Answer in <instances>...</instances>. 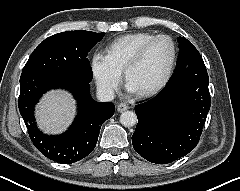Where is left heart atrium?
I'll list each match as a JSON object with an SVG mask.
<instances>
[{
	"label": "left heart atrium",
	"instance_id": "39dd6f15",
	"mask_svg": "<svg viewBox=\"0 0 240 191\" xmlns=\"http://www.w3.org/2000/svg\"><path fill=\"white\" fill-rule=\"evenodd\" d=\"M127 89L130 91V92H135L136 89L130 84L127 82Z\"/></svg>",
	"mask_w": 240,
	"mask_h": 191
}]
</instances>
